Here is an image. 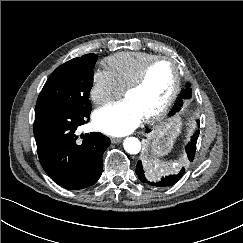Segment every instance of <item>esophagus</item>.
Returning <instances> with one entry per match:
<instances>
[{
    "mask_svg": "<svg viewBox=\"0 0 243 243\" xmlns=\"http://www.w3.org/2000/svg\"><path fill=\"white\" fill-rule=\"evenodd\" d=\"M110 140H111V143L116 144V143L121 142L122 141V138L111 137Z\"/></svg>",
    "mask_w": 243,
    "mask_h": 243,
    "instance_id": "esophagus-1",
    "label": "esophagus"
}]
</instances>
